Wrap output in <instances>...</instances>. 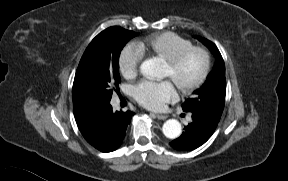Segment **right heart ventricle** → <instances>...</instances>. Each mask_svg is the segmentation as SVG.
<instances>
[{
	"label": "right heart ventricle",
	"mask_w": 288,
	"mask_h": 181,
	"mask_svg": "<svg viewBox=\"0 0 288 181\" xmlns=\"http://www.w3.org/2000/svg\"><path fill=\"white\" fill-rule=\"evenodd\" d=\"M192 46V42L173 32L155 34L137 43L142 54L166 60L177 52Z\"/></svg>",
	"instance_id": "obj_1"
}]
</instances>
